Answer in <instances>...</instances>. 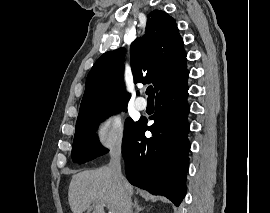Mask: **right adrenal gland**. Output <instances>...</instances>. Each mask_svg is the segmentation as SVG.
<instances>
[{
	"label": "right adrenal gland",
	"mask_w": 270,
	"mask_h": 213,
	"mask_svg": "<svg viewBox=\"0 0 270 213\" xmlns=\"http://www.w3.org/2000/svg\"><path fill=\"white\" fill-rule=\"evenodd\" d=\"M134 209H135V212L134 213H139L141 212L142 210L145 209V207H141L139 204H138V201L137 200H134Z\"/></svg>",
	"instance_id": "right-adrenal-gland-1"
}]
</instances>
